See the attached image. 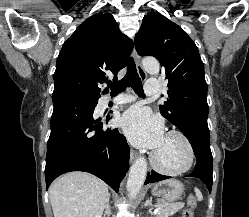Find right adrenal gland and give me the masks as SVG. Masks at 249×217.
<instances>
[{"instance_id": "1", "label": "right adrenal gland", "mask_w": 249, "mask_h": 217, "mask_svg": "<svg viewBox=\"0 0 249 217\" xmlns=\"http://www.w3.org/2000/svg\"><path fill=\"white\" fill-rule=\"evenodd\" d=\"M110 214H111V205H110V198H108L103 217H109Z\"/></svg>"}]
</instances>
